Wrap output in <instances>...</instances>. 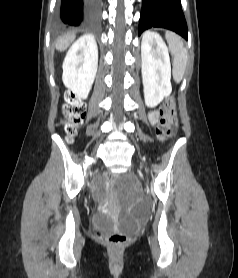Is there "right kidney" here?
Masks as SVG:
<instances>
[{
    "mask_svg": "<svg viewBox=\"0 0 238 278\" xmlns=\"http://www.w3.org/2000/svg\"><path fill=\"white\" fill-rule=\"evenodd\" d=\"M98 67V48L95 38L85 35L69 49L63 62V82L79 98L86 99Z\"/></svg>",
    "mask_w": 238,
    "mask_h": 278,
    "instance_id": "ca27d5eb",
    "label": "right kidney"
}]
</instances>
